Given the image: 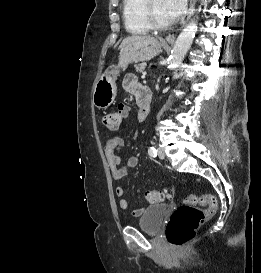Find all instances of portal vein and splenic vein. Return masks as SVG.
Masks as SVG:
<instances>
[{
  "label": "portal vein and splenic vein",
  "mask_w": 261,
  "mask_h": 273,
  "mask_svg": "<svg viewBox=\"0 0 261 273\" xmlns=\"http://www.w3.org/2000/svg\"><path fill=\"white\" fill-rule=\"evenodd\" d=\"M146 77V72H143L142 78L144 79Z\"/></svg>",
  "instance_id": "18ae733b"
}]
</instances>
